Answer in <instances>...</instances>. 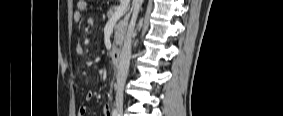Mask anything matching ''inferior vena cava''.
<instances>
[{
  "instance_id": "1",
  "label": "inferior vena cava",
  "mask_w": 283,
  "mask_h": 116,
  "mask_svg": "<svg viewBox=\"0 0 283 116\" xmlns=\"http://www.w3.org/2000/svg\"><path fill=\"white\" fill-rule=\"evenodd\" d=\"M143 0H133L132 2V18L126 32L124 43L122 46L120 60L117 67V90H116V103L123 102V88L128 75L130 58H131V42L134 32V27L137 19L139 9L142 5Z\"/></svg>"
}]
</instances>
